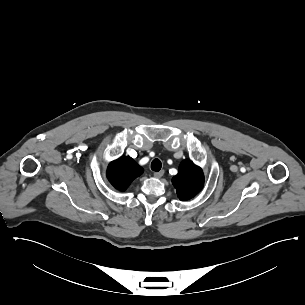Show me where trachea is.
<instances>
[{
	"label": "trachea",
	"instance_id": "1",
	"mask_svg": "<svg viewBox=\"0 0 305 305\" xmlns=\"http://www.w3.org/2000/svg\"><path fill=\"white\" fill-rule=\"evenodd\" d=\"M162 168V163L159 159H154L152 162H151V169L155 172H158L160 171Z\"/></svg>",
	"mask_w": 305,
	"mask_h": 305
}]
</instances>
